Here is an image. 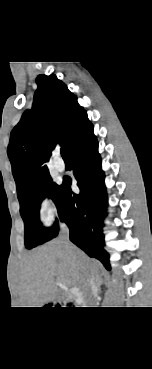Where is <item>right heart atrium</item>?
I'll use <instances>...</instances> for the list:
<instances>
[{
	"label": "right heart atrium",
	"mask_w": 152,
	"mask_h": 369,
	"mask_svg": "<svg viewBox=\"0 0 152 369\" xmlns=\"http://www.w3.org/2000/svg\"><path fill=\"white\" fill-rule=\"evenodd\" d=\"M57 215V207L53 199L43 196L39 201L38 216L44 226H49Z\"/></svg>",
	"instance_id": "obj_1"
}]
</instances>
